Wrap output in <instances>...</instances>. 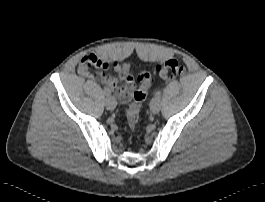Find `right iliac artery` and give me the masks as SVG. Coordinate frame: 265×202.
Masks as SVG:
<instances>
[{"label":"right iliac artery","mask_w":265,"mask_h":202,"mask_svg":"<svg viewBox=\"0 0 265 202\" xmlns=\"http://www.w3.org/2000/svg\"><path fill=\"white\" fill-rule=\"evenodd\" d=\"M103 91H104V94L106 96H109L110 95V92H109V90L106 87H104Z\"/></svg>","instance_id":"82829eb1"}]
</instances>
